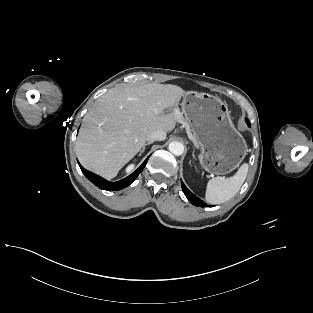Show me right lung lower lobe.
I'll list each match as a JSON object with an SVG mask.
<instances>
[{
    "label": "right lung lower lobe",
    "mask_w": 313,
    "mask_h": 313,
    "mask_svg": "<svg viewBox=\"0 0 313 313\" xmlns=\"http://www.w3.org/2000/svg\"><path fill=\"white\" fill-rule=\"evenodd\" d=\"M148 158L143 162V164L135 172H133L128 177H126L122 180L116 181V182L107 181L104 178L100 177L99 175H96V174L84 169L80 164H79V166L81 168V171L84 173V175L94 185H96L97 187H99L103 190L115 191V190H121V189L129 186L137 178V176L140 174V172L144 169V167L148 161Z\"/></svg>",
    "instance_id": "right-lung-lower-lobe-1"
}]
</instances>
